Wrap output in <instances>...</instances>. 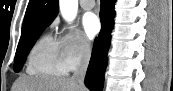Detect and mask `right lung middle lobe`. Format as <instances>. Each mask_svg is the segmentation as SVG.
I'll use <instances>...</instances> for the list:
<instances>
[{
  "label": "right lung middle lobe",
  "instance_id": "right-lung-middle-lobe-1",
  "mask_svg": "<svg viewBox=\"0 0 173 91\" xmlns=\"http://www.w3.org/2000/svg\"><path fill=\"white\" fill-rule=\"evenodd\" d=\"M46 26L48 25H40L31 30L22 32L15 55V62H14L15 72H19L21 70L23 63L26 59V56L28 55L36 39L39 37V35L45 29Z\"/></svg>",
  "mask_w": 173,
  "mask_h": 91
}]
</instances>
